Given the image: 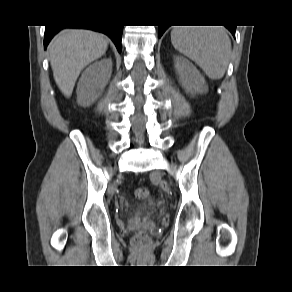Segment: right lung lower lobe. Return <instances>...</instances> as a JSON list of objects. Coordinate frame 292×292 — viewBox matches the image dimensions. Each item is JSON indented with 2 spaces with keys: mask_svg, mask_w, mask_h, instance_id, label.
I'll list each match as a JSON object with an SVG mask.
<instances>
[{
  "mask_svg": "<svg viewBox=\"0 0 292 292\" xmlns=\"http://www.w3.org/2000/svg\"><path fill=\"white\" fill-rule=\"evenodd\" d=\"M63 27H82L87 29H92L95 31L102 32L108 35L114 44L116 45L119 52H121V39H122V26H113V25H87V26H46L45 28V37H44V46L46 47L52 37Z\"/></svg>",
  "mask_w": 292,
  "mask_h": 292,
  "instance_id": "1",
  "label": "right lung lower lobe"
}]
</instances>
